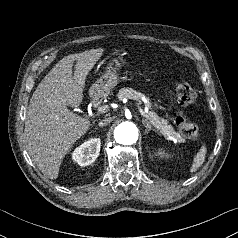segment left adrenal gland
Listing matches in <instances>:
<instances>
[{
  "label": "left adrenal gland",
  "mask_w": 238,
  "mask_h": 238,
  "mask_svg": "<svg viewBox=\"0 0 238 238\" xmlns=\"http://www.w3.org/2000/svg\"><path fill=\"white\" fill-rule=\"evenodd\" d=\"M142 123H143V125L146 127V130H145V133H146V134H148L149 131L154 130V129L152 128V126L150 125V123H149L146 119H143V120H142Z\"/></svg>",
  "instance_id": "a2214340"
}]
</instances>
